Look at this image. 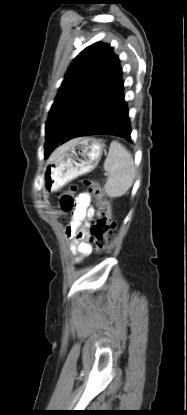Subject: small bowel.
<instances>
[{"mask_svg": "<svg viewBox=\"0 0 187 415\" xmlns=\"http://www.w3.org/2000/svg\"><path fill=\"white\" fill-rule=\"evenodd\" d=\"M91 195L89 193H81L75 204L72 221L65 229L66 236L71 239L70 250L77 255L76 263L91 253V245L88 241L86 226L97 214L98 210L90 206ZM84 223V227L77 232L78 227Z\"/></svg>", "mask_w": 187, "mask_h": 415, "instance_id": "small-bowel-1", "label": "small bowel"}]
</instances>
